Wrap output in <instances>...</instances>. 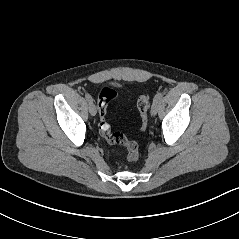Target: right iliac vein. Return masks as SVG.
Listing matches in <instances>:
<instances>
[{
	"instance_id": "63e3f726",
	"label": "right iliac vein",
	"mask_w": 239,
	"mask_h": 239,
	"mask_svg": "<svg viewBox=\"0 0 239 239\" xmlns=\"http://www.w3.org/2000/svg\"><path fill=\"white\" fill-rule=\"evenodd\" d=\"M89 112L92 116L96 115V106L93 102L89 103Z\"/></svg>"
}]
</instances>
